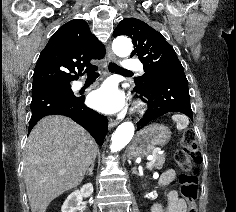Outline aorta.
I'll return each instance as SVG.
<instances>
[{"label": "aorta", "mask_w": 236, "mask_h": 212, "mask_svg": "<svg viewBox=\"0 0 236 212\" xmlns=\"http://www.w3.org/2000/svg\"><path fill=\"white\" fill-rule=\"evenodd\" d=\"M114 53L119 57H127L132 52V42L124 36L117 37L112 44ZM134 125L132 122H123L120 124L112 135V143L110 149L117 152L124 148L134 135Z\"/></svg>", "instance_id": "aorta-1"}]
</instances>
